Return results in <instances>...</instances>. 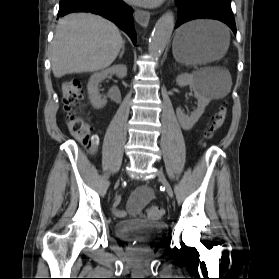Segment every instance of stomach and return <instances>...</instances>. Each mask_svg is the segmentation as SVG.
Returning a JSON list of instances; mask_svg holds the SVG:
<instances>
[{"instance_id":"stomach-1","label":"stomach","mask_w":279,"mask_h":279,"mask_svg":"<svg viewBox=\"0 0 279 279\" xmlns=\"http://www.w3.org/2000/svg\"><path fill=\"white\" fill-rule=\"evenodd\" d=\"M223 25L207 20L192 21L180 27L173 40V56L186 65L205 64L220 59L229 46Z\"/></svg>"}]
</instances>
